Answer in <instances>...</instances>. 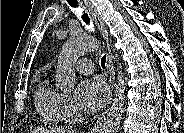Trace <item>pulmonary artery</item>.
Here are the masks:
<instances>
[{"instance_id": "pulmonary-artery-1", "label": "pulmonary artery", "mask_w": 184, "mask_h": 133, "mask_svg": "<svg viewBox=\"0 0 184 133\" xmlns=\"http://www.w3.org/2000/svg\"><path fill=\"white\" fill-rule=\"evenodd\" d=\"M77 71L83 74L92 73L94 70V66L91 60L89 59H81L75 65Z\"/></svg>"}]
</instances>
